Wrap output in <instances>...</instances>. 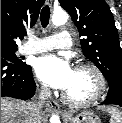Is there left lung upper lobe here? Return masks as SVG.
<instances>
[{
    "instance_id": "obj_1",
    "label": "left lung upper lobe",
    "mask_w": 122,
    "mask_h": 123,
    "mask_svg": "<svg viewBox=\"0 0 122 123\" xmlns=\"http://www.w3.org/2000/svg\"><path fill=\"white\" fill-rule=\"evenodd\" d=\"M78 28L83 54L102 72L109 85L122 80V49L118 31L104 0H59Z\"/></svg>"
}]
</instances>
